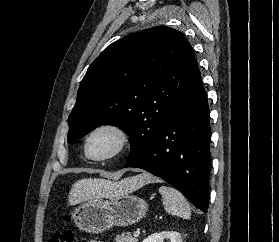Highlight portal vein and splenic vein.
I'll list each match as a JSON object with an SVG mask.
<instances>
[{"label": "portal vein and splenic vein", "instance_id": "obj_1", "mask_svg": "<svg viewBox=\"0 0 279 242\" xmlns=\"http://www.w3.org/2000/svg\"><path fill=\"white\" fill-rule=\"evenodd\" d=\"M133 235L134 237H138L140 235V230H136Z\"/></svg>", "mask_w": 279, "mask_h": 242}]
</instances>
